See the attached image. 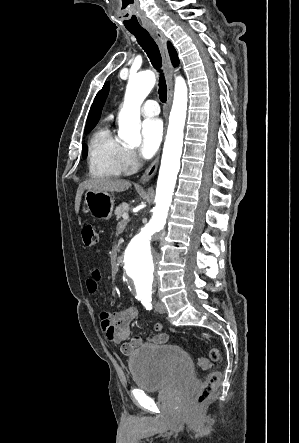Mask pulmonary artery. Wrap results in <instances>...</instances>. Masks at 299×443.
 <instances>
[{"label":"pulmonary artery","instance_id":"obj_1","mask_svg":"<svg viewBox=\"0 0 299 443\" xmlns=\"http://www.w3.org/2000/svg\"><path fill=\"white\" fill-rule=\"evenodd\" d=\"M141 113L147 117H153L159 114V106L155 100L146 101L141 107Z\"/></svg>","mask_w":299,"mask_h":443}]
</instances>
